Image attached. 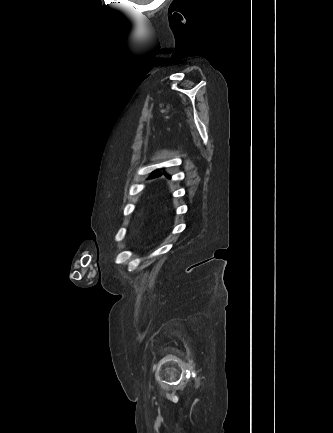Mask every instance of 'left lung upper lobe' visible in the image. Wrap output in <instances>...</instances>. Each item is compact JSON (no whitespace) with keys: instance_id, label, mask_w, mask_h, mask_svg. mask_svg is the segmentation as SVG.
Segmentation results:
<instances>
[{"instance_id":"obj_1","label":"left lung upper lobe","mask_w":333,"mask_h":433,"mask_svg":"<svg viewBox=\"0 0 333 433\" xmlns=\"http://www.w3.org/2000/svg\"><path fill=\"white\" fill-rule=\"evenodd\" d=\"M160 174L159 170L156 171L154 176H158Z\"/></svg>"}]
</instances>
